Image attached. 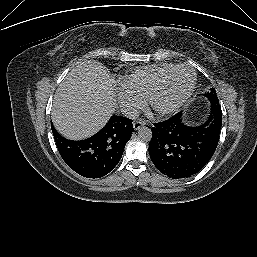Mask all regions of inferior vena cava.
I'll return each instance as SVG.
<instances>
[{
    "label": "inferior vena cava",
    "mask_w": 257,
    "mask_h": 257,
    "mask_svg": "<svg viewBox=\"0 0 257 257\" xmlns=\"http://www.w3.org/2000/svg\"><path fill=\"white\" fill-rule=\"evenodd\" d=\"M121 113L123 116L132 120L136 119L140 114L139 110L132 106H122Z\"/></svg>",
    "instance_id": "602c4592"
}]
</instances>
